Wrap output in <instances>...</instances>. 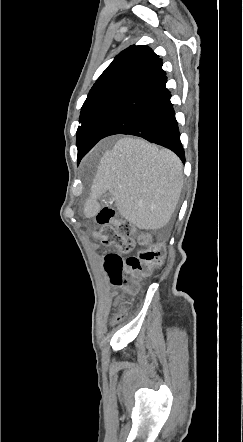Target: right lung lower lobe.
<instances>
[{
	"label": "right lung lower lobe",
	"instance_id": "98d812e1",
	"mask_svg": "<svg viewBox=\"0 0 243 442\" xmlns=\"http://www.w3.org/2000/svg\"><path fill=\"white\" fill-rule=\"evenodd\" d=\"M166 82L164 73L121 99L97 126L83 156L107 136L129 134L164 146L185 162L178 123Z\"/></svg>",
	"mask_w": 243,
	"mask_h": 442
}]
</instances>
